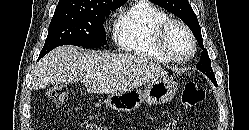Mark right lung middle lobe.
I'll return each mask as SVG.
<instances>
[{
	"instance_id": "1",
	"label": "right lung middle lobe",
	"mask_w": 249,
	"mask_h": 130,
	"mask_svg": "<svg viewBox=\"0 0 249 130\" xmlns=\"http://www.w3.org/2000/svg\"><path fill=\"white\" fill-rule=\"evenodd\" d=\"M122 4L99 10L56 7L39 58L61 45L70 44L84 48H100L106 45L103 28L105 17Z\"/></svg>"
}]
</instances>
